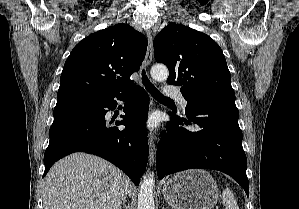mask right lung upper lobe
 Instances as JSON below:
<instances>
[{"mask_svg":"<svg viewBox=\"0 0 299 209\" xmlns=\"http://www.w3.org/2000/svg\"><path fill=\"white\" fill-rule=\"evenodd\" d=\"M145 36L127 24H116L90 34L67 58L57 99L122 93L136 88L130 80L147 49Z\"/></svg>","mask_w":299,"mask_h":209,"instance_id":"right-lung-upper-lobe-1","label":"right lung upper lobe"}]
</instances>
